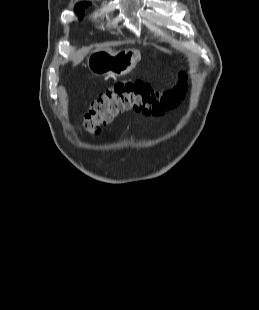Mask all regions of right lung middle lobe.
<instances>
[{
	"mask_svg": "<svg viewBox=\"0 0 259 310\" xmlns=\"http://www.w3.org/2000/svg\"><path fill=\"white\" fill-rule=\"evenodd\" d=\"M89 5V3H85L82 5H79L77 7H75V11L76 13L79 15V18L81 19L82 16H84V9Z\"/></svg>",
	"mask_w": 259,
	"mask_h": 310,
	"instance_id": "right-lung-middle-lobe-1",
	"label": "right lung middle lobe"
}]
</instances>
